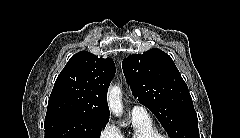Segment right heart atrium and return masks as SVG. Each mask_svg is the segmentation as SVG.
<instances>
[{
	"label": "right heart atrium",
	"mask_w": 240,
	"mask_h": 138,
	"mask_svg": "<svg viewBox=\"0 0 240 138\" xmlns=\"http://www.w3.org/2000/svg\"><path fill=\"white\" fill-rule=\"evenodd\" d=\"M100 138H119V131L112 122H107L99 133Z\"/></svg>",
	"instance_id": "obj_1"
}]
</instances>
